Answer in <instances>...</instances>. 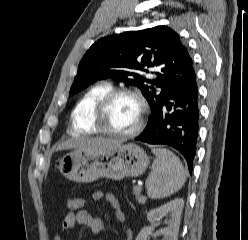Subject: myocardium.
Masks as SVG:
<instances>
[{
  "mask_svg": "<svg viewBox=\"0 0 248 240\" xmlns=\"http://www.w3.org/2000/svg\"><path fill=\"white\" fill-rule=\"evenodd\" d=\"M121 95H129L134 97L140 106V116L138 122L136 126L128 132L113 131L103 125L104 116L108 107L117 96ZM147 115L148 105L144 96L139 90L128 87L112 88L107 91L96 103L92 113V123L95 127V130L103 135L115 138H132L137 136L142 131Z\"/></svg>",
  "mask_w": 248,
  "mask_h": 240,
  "instance_id": "f54148a6",
  "label": "myocardium"
}]
</instances>
